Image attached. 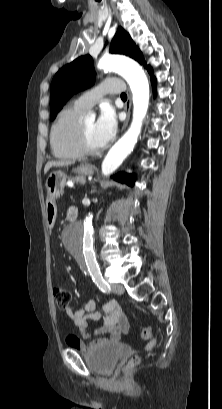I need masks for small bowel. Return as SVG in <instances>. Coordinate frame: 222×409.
Instances as JSON below:
<instances>
[{
  "mask_svg": "<svg viewBox=\"0 0 222 409\" xmlns=\"http://www.w3.org/2000/svg\"><path fill=\"white\" fill-rule=\"evenodd\" d=\"M73 209L74 207H70L67 210V217ZM66 313L78 327L82 339H90L94 335H105L90 344H85L77 337H69L68 344L78 351L85 352L109 342L117 343L129 329L127 316L116 300H110L97 309V299L93 298L76 310L68 308ZM90 321H102V323L94 331H90Z\"/></svg>",
  "mask_w": 222,
  "mask_h": 409,
  "instance_id": "c3829d8e",
  "label": "small bowel"
}]
</instances>
